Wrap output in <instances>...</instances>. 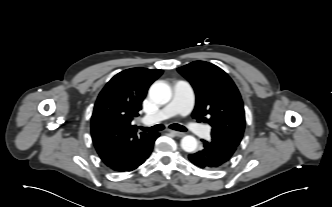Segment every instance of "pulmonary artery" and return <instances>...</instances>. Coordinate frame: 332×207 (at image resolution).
Returning <instances> with one entry per match:
<instances>
[{
    "mask_svg": "<svg viewBox=\"0 0 332 207\" xmlns=\"http://www.w3.org/2000/svg\"><path fill=\"white\" fill-rule=\"evenodd\" d=\"M194 92L191 85L183 80H178L173 84V98L163 109L148 114L143 118L144 123L154 124L169 119L175 115H188L194 106ZM191 132L201 137H207L210 133L208 125L191 123L188 127Z\"/></svg>",
    "mask_w": 332,
    "mask_h": 207,
    "instance_id": "e3ab8cb5",
    "label": "pulmonary artery"
}]
</instances>
